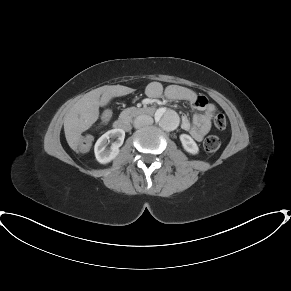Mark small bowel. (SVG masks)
Wrapping results in <instances>:
<instances>
[{
    "mask_svg": "<svg viewBox=\"0 0 291 291\" xmlns=\"http://www.w3.org/2000/svg\"><path fill=\"white\" fill-rule=\"evenodd\" d=\"M163 92L169 100L187 101L199 111L194 115L192 123L187 117H182L181 127L190 132L196 140H202L211 128V119L216 112V106L205 96L181 85H170L163 91L159 82H152L146 89V95L151 99H158Z\"/></svg>",
    "mask_w": 291,
    "mask_h": 291,
    "instance_id": "small-bowel-1",
    "label": "small bowel"
}]
</instances>
